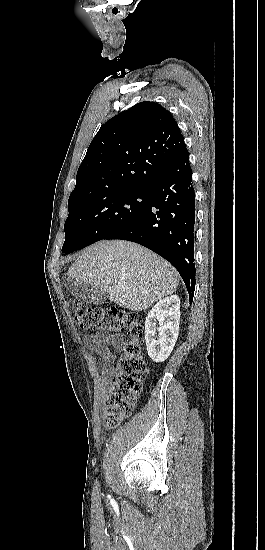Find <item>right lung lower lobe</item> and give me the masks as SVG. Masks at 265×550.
I'll list each match as a JSON object with an SVG mask.
<instances>
[{"instance_id":"1","label":"right lung lower lobe","mask_w":265,"mask_h":550,"mask_svg":"<svg viewBox=\"0 0 265 550\" xmlns=\"http://www.w3.org/2000/svg\"><path fill=\"white\" fill-rule=\"evenodd\" d=\"M189 153L185 151L151 184L145 209L104 239L141 244L168 260L181 275L192 303L195 289V203Z\"/></svg>"}]
</instances>
